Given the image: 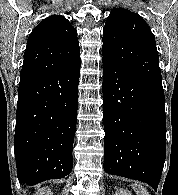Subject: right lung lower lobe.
<instances>
[{
    "label": "right lung lower lobe",
    "mask_w": 178,
    "mask_h": 195,
    "mask_svg": "<svg viewBox=\"0 0 178 195\" xmlns=\"http://www.w3.org/2000/svg\"><path fill=\"white\" fill-rule=\"evenodd\" d=\"M80 64L20 79L14 152L20 182L35 185L70 174Z\"/></svg>",
    "instance_id": "obj_1"
}]
</instances>
